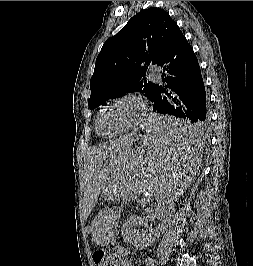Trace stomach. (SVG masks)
Listing matches in <instances>:
<instances>
[{
  "instance_id": "stomach-1",
  "label": "stomach",
  "mask_w": 253,
  "mask_h": 266,
  "mask_svg": "<svg viewBox=\"0 0 253 266\" xmlns=\"http://www.w3.org/2000/svg\"><path fill=\"white\" fill-rule=\"evenodd\" d=\"M142 145H148V139L145 138V135L131 139L124 145L121 151L114 155L107 163V184L112 192L116 190L117 185H122L121 177L128 176V171L131 170L123 169V160H138L136 158V151L141 150Z\"/></svg>"
}]
</instances>
